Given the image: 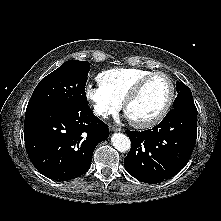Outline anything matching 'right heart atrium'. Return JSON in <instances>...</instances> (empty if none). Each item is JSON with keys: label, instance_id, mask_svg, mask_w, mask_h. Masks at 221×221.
Returning <instances> with one entry per match:
<instances>
[{"label": "right heart atrium", "instance_id": "d8ad5b80", "mask_svg": "<svg viewBox=\"0 0 221 221\" xmlns=\"http://www.w3.org/2000/svg\"><path fill=\"white\" fill-rule=\"evenodd\" d=\"M85 96L92 105L95 114L100 118H107L118 112L121 108V103L100 85H87Z\"/></svg>", "mask_w": 221, "mask_h": 221}]
</instances>
